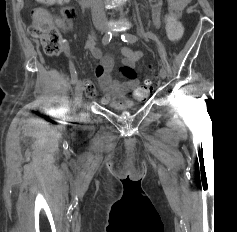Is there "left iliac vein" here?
I'll list each match as a JSON object with an SVG mask.
<instances>
[{
  "label": "left iliac vein",
  "mask_w": 237,
  "mask_h": 232,
  "mask_svg": "<svg viewBox=\"0 0 237 232\" xmlns=\"http://www.w3.org/2000/svg\"><path fill=\"white\" fill-rule=\"evenodd\" d=\"M113 35H114V36H117V35H118V34L115 32V30H113ZM166 76H167L166 69H165V68H161V69H160V77H161L162 79H165Z\"/></svg>",
  "instance_id": "4c4485c4"
}]
</instances>
